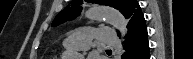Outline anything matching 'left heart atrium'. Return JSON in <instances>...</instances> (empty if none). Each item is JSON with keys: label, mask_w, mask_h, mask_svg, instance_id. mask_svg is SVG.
<instances>
[{"label": "left heart atrium", "mask_w": 193, "mask_h": 59, "mask_svg": "<svg viewBox=\"0 0 193 59\" xmlns=\"http://www.w3.org/2000/svg\"><path fill=\"white\" fill-rule=\"evenodd\" d=\"M87 59H99L96 54H91Z\"/></svg>", "instance_id": "1"}]
</instances>
